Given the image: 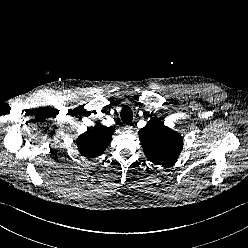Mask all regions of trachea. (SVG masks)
<instances>
[{
	"mask_svg": "<svg viewBox=\"0 0 248 248\" xmlns=\"http://www.w3.org/2000/svg\"><path fill=\"white\" fill-rule=\"evenodd\" d=\"M121 120L126 123L129 124L131 123L132 119H133V112L131 110V108L129 106H125L122 110H121Z\"/></svg>",
	"mask_w": 248,
	"mask_h": 248,
	"instance_id": "1",
	"label": "trachea"
}]
</instances>
